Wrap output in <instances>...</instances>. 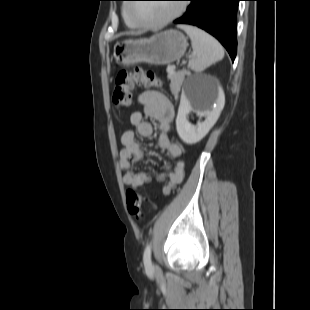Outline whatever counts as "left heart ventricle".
Returning a JSON list of instances; mask_svg holds the SVG:
<instances>
[{"label":"left heart ventricle","mask_w":310,"mask_h":310,"mask_svg":"<svg viewBox=\"0 0 310 310\" xmlns=\"http://www.w3.org/2000/svg\"><path fill=\"white\" fill-rule=\"evenodd\" d=\"M177 6L169 3L134 4L130 7V14L144 22L156 23L171 16Z\"/></svg>","instance_id":"left-heart-ventricle-1"}]
</instances>
